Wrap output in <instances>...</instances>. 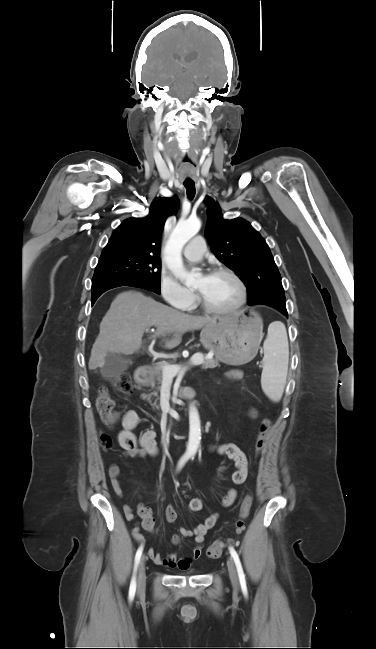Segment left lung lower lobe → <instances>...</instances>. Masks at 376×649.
<instances>
[{
	"label": "left lung lower lobe",
	"instance_id": "obj_1",
	"mask_svg": "<svg viewBox=\"0 0 376 649\" xmlns=\"http://www.w3.org/2000/svg\"><path fill=\"white\" fill-rule=\"evenodd\" d=\"M276 309L279 310L280 312H282L284 315L288 316V315H287V310H286V308H284V307H280V306H276Z\"/></svg>",
	"mask_w": 376,
	"mask_h": 649
}]
</instances>
